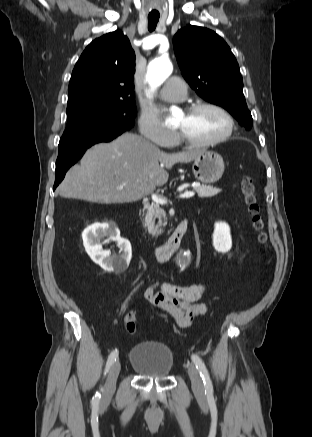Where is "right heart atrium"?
<instances>
[{
	"label": "right heart atrium",
	"instance_id": "right-heart-atrium-1",
	"mask_svg": "<svg viewBox=\"0 0 312 437\" xmlns=\"http://www.w3.org/2000/svg\"><path fill=\"white\" fill-rule=\"evenodd\" d=\"M138 125L139 131L144 138L161 147L171 146L176 141V133L166 128L159 117L153 112H142Z\"/></svg>",
	"mask_w": 312,
	"mask_h": 437
}]
</instances>
